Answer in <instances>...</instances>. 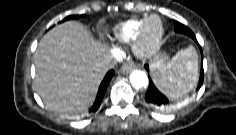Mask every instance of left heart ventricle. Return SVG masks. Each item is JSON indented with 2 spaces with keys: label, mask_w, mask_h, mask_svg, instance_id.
<instances>
[{
  "label": "left heart ventricle",
  "mask_w": 236,
  "mask_h": 135,
  "mask_svg": "<svg viewBox=\"0 0 236 135\" xmlns=\"http://www.w3.org/2000/svg\"><path fill=\"white\" fill-rule=\"evenodd\" d=\"M158 32V24L156 21H152L150 22V24L148 25V30H147V36L149 38L154 37Z\"/></svg>",
  "instance_id": "left-heart-ventricle-1"
}]
</instances>
